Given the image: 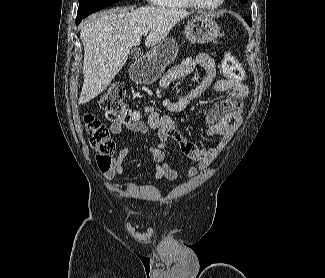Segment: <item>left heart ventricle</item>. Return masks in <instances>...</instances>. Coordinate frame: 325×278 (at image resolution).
Returning a JSON list of instances; mask_svg holds the SVG:
<instances>
[{"instance_id": "obj_1", "label": "left heart ventricle", "mask_w": 325, "mask_h": 278, "mask_svg": "<svg viewBox=\"0 0 325 278\" xmlns=\"http://www.w3.org/2000/svg\"><path fill=\"white\" fill-rule=\"evenodd\" d=\"M197 1L203 5H213L217 3L219 0H197Z\"/></svg>"}]
</instances>
